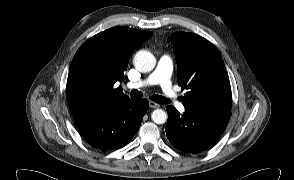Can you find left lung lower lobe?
I'll return each mask as SVG.
<instances>
[{"label":"left lung lower lobe","mask_w":294,"mask_h":180,"mask_svg":"<svg viewBox=\"0 0 294 180\" xmlns=\"http://www.w3.org/2000/svg\"><path fill=\"white\" fill-rule=\"evenodd\" d=\"M167 138L177 149L199 153L210 148L223 133L231 113L205 112L186 109L183 115L173 107H166Z\"/></svg>","instance_id":"1"}]
</instances>
